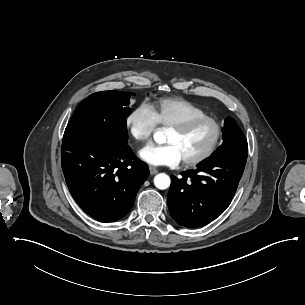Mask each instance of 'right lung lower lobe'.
<instances>
[{
    "label": "right lung lower lobe",
    "instance_id": "obj_1",
    "mask_svg": "<svg viewBox=\"0 0 305 305\" xmlns=\"http://www.w3.org/2000/svg\"><path fill=\"white\" fill-rule=\"evenodd\" d=\"M62 169L78 205L101 222L123 218L149 176L126 145L107 146L89 141L62 144Z\"/></svg>",
    "mask_w": 305,
    "mask_h": 305
}]
</instances>
